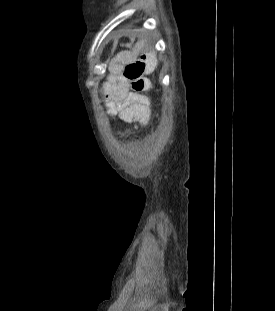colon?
I'll return each instance as SVG.
<instances>
[{"instance_id":"1","label":"colon","mask_w":275,"mask_h":311,"mask_svg":"<svg viewBox=\"0 0 275 311\" xmlns=\"http://www.w3.org/2000/svg\"><path fill=\"white\" fill-rule=\"evenodd\" d=\"M154 62L152 57H140L126 68L125 74L132 82L133 88L138 92H143L150 87V80L147 74L152 70Z\"/></svg>"}]
</instances>
